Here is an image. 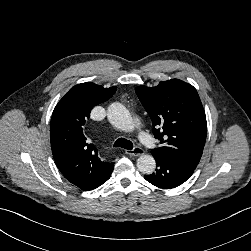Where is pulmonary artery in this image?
Listing matches in <instances>:
<instances>
[{
    "label": "pulmonary artery",
    "mask_w": 251,
    "mask_h": 251,
    "mask_svg": "<svg viewBox=\"0 0 251 251\" xmlns=\"http://www.w3.org/2000/svg\"><path fill=\"white\" fill-rule=\"evenodd\" d=\"M143 141H144L145 143H150V142L153 141V139H152V137H151L150 135L144 134V135H143Z\"/></svg>",
    "instance_id": "pulmonary-artery-1"
}]
</instances>
